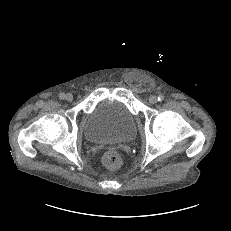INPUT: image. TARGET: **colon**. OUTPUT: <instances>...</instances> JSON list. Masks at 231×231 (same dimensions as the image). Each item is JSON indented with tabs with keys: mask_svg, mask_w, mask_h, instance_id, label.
I'll return each instance as SVG.
<instances>
[{
	"mask_svg": "<svg viewBox=\"0 0 231 231\" xmlns=\"http://www.w3.org/2000/svg\"><path fill=\"white\" fill-rule=\"evenodd\" d=\"M102 162L106 167L115 169L121 165L122 160L116 151L109 150L103 154Z\"/></svg>",
	"mask_w": 231,
	"mask_h": 231,
	"instance_id": "5ec220e1",
	"label": "colon"
}]
</instances>
